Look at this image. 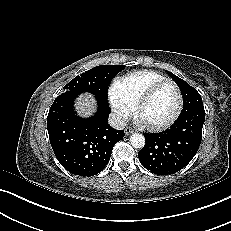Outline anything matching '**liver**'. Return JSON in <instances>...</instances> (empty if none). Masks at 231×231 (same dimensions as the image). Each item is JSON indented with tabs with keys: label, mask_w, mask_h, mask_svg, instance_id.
<instances>
[{
	"label": "liver",
	"mask_w": 231,
	"mask_h": 231,
	"mask_svg": "<svg viewBox=\"0 0 231 231\" xmlns=\"http://www.w3.org/2000/svg\"><path fill=\"white\" fill-rule=\"evenodd\" d=\"M74 108L78 116L88 118L96 112L97 101L92 94L83 92L76 97Z\"/></svg>",
	"instance_id": "1"
}]
</instances>
